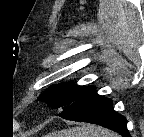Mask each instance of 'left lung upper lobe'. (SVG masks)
Wrapping results in <instances>:
<instances>
[{
  "instance_id": "5c2ea615",
  "label": "left lung upper lobe",
  "mask_w": 144,
  "mask_h": 137,
  "mask_svg": "<svg viewBox=\"0 0 144 137\" xmlns=\"http://www.w3.org/2000/svg\"><path fill=\"white\" fill-rule=\"evenodd\" d=\"M93 88L94 87L73 86L71 83H61L60 85H53L46 89V91L38 97V100L47 103L51 108L65 109L85 90Z\"/></svg>"
}]
</instances>
